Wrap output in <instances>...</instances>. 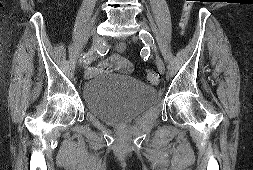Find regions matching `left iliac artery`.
<instances>
[{
	"instance_id": "44dca946",
	"label": "left iliac artery",
	"mask_w": 253,
	"mask_h": 170,
	"mask_svg": "<svg viewBox=\"0 0 253 170\" xmlns=\"http://www.w3.org/2000/svg\"><path fill=\"white\" fill-rule=\"evenodd\" d=\"M139 36L142 40V42L145 44V45H151L153 46L154 45V39L153 37L151 36V34L149 32H147L146 30H141L139 32Z\"/></svg>"
}]
</instances>
